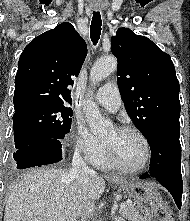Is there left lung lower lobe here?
<instances>
[{
  "instance_id": "obj_1",
  "label": "left lung lower lobe",
  "mask_w": 190,
  "mask_h": 221,
  "mask_svg": "<svg viewBox=\"0 0 190 221\" xmlns=\"http://www.w3.org/2000/svg\"><path fill=\"white\" fill-rule=\"evenodd\" d=\"M179 135L180 128L164 127L147 138L151 149L150 172L140 178L157 179L171 193L180 209L183 182Z\"/></svg>"
}]
</instances>
